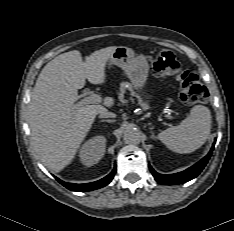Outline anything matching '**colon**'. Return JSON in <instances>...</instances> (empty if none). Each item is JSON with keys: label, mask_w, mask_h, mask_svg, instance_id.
Segmentation results:
<instances>
[{"label": "colon", "mask_w": 234, "mask_h": 231, "mask_svg": "<svg viewBox=\"0 0 234 231\" xmlns=\"http://www.w3.org/2000/svg\"><path fill=\"white\" fill-rule=\"evenodd\" d=\"M153 72L160 77L174 76L179 80V97L185 105L203 103L208 91L192 71H183L177 58L171 51H161L152 63Z\"/></svg>", "instance_id": "obj_1"}]
</instances>
